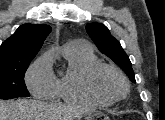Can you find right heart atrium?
Segmentation results:
<instances>
[{
  "label": "right heart atrium",
  "instance_id": "obj_1",
  "mask_svg": "<svg viewBox=\"0 0 165 120\" xmlns=\"http://www.w3.org/2000/svg\"><path fill=\"white\" fill-rule=\"evenodd\" d=\"M26 84L32 94L37 97H53L56 77L53 74L48 55H42L29 67L26 73Z\"/></svg>",
  "mask_w": 165,
  "mask_h": 120
}]
</instances>
